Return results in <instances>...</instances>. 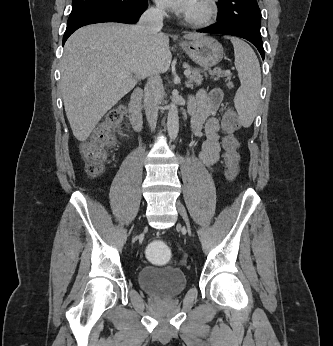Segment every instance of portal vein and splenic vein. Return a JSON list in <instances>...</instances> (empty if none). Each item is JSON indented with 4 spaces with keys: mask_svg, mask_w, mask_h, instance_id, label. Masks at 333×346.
<instances>
[{
    "mask_svg": "<svg viewBox=\"0 0 333 346\" xmlns=\"http://www.w3.org/2000/svg\"><path fill=\"white\" fill-rule=\"evenodd\" d=\"M190 74H191V71H190L189 69H187V70L184 71V75H185V76H189ZM118 77L124 78V77H126V75H124V74H119Z\"/></svg>",
    "mask_w": 333,
    "mask_h": 346,
    "instance_id": "portal-vein-and-splenic-vein-1",
    "label": "portal vein and splenic vein"
}]
</instances>
